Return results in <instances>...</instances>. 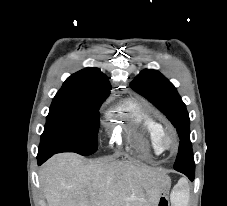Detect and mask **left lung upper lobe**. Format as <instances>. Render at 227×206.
Masks as SVG:
<instances>
[{
    "label": "left lung upper lobe",
    "instance_id": "left-lung-upper-lobe-1",
    "mask_svg": "<svg viewBox=\"0 0 227 206\" xmlns=\"http://www.w3.org/2000/svg\"><path fill=\"white\" fill-rule=\"evenodd\" d=\"M130 86L163 112L177 129L180 144L174 169L195 168L189 115L174 85L159 71L145 69L136 76Z\"/></svg>",
    "mask_w": 227,
    "mask_h": 206
}]
</instances>
